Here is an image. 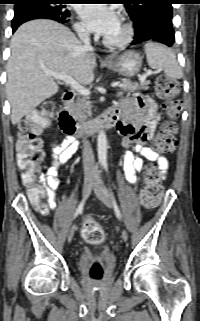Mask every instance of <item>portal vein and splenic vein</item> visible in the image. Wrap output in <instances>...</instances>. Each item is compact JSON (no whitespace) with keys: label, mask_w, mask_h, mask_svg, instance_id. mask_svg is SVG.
<instances>
[{"label":"portal vein and splenic vein","mask_w":200,"mask_h":321,"mask_svg":"<svg viewBox=\"0 0 200 321\" xmlns=\"http://www.w3.org/2000/svg\"><path fill=\"white\" fill-rule=\"evenodd\" d=\"M45 73L49 76L54 77L55 79H59L63 81L65 84L69 85L71 88L75 89L78 93L84 96L90 95V90L83 87L81 84H79L74 78H72L70 75L66 73H57L50 70H45ZM154 71L147 70L144 75L140 77V80H145L147 76L152 75ZM120 85V82H114L111 84L112 87H118Z\"/></svg>","instance_id":"18ae733b"}]
</instances>
